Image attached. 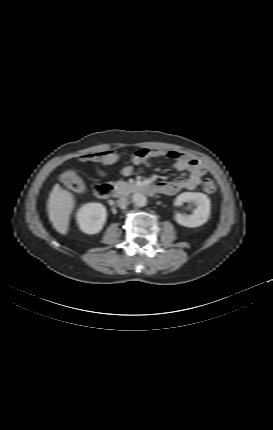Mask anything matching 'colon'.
I'll list each match as a JSON object with an SVG mask.
<instances>
[{
    "instance_id": "1",
    "label": "colon",
    "mask_w": 273,
    "mask_h": 430,
    "mask_svg": "<svg viewBox=\"0 0 273 430\" xmlns=\"http://www.w3.org/2000/svg\"><path fill=\"white\" fill-rule=\"evenodd\" d=\"M60 177L66 188L74 192L84 191L85 183L75 171L71 169H64L61 171ZM203 189L205 192L212 194L216 191L217 184L212 179H205L203 182Z\"/></svg>"
}]
</instances>
